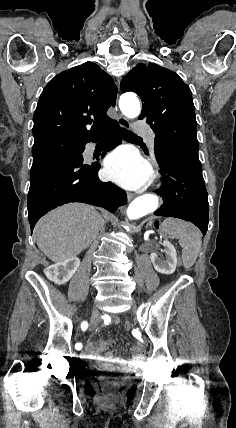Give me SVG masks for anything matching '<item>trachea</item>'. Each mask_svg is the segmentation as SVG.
I'll return each mask as SVG.
<instances>
[{"mask_svg":"<svg viewBox=\"0 0 236 428\" xmlns=\"http://www.w3.org/2000/svg\"><path fill=\"white\" fill-rule=\"evenodd\" d=\"M122 136L124 138V140H130V139H140L141 137H138V135H136L135 133L126 130L125 128H123L122 130Z\"/></svg>","mask_w":236,"mask_h":428,"instance_id":"trachea-1","label":"trachea"}]
</instances>
